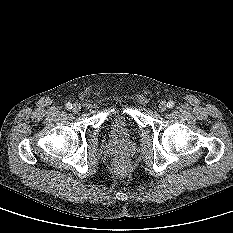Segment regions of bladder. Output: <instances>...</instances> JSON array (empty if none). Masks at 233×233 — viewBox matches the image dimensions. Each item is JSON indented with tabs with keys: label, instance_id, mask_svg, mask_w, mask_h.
I'll use <instances>...</instances> for the list:
<instances>
[{
	"label": "bladder",
	"instance_id": "1",
	"mask_svg": "<svg viewBox=\"0 0 233 233\" xmlns=\"http://www.w3.org/2000/svg\"><path fill=\"white\" fill-rule=\"evenodd\" d=\"M109 132L112 137L117 139H126L129 137L130 131L127 118L123 115H117L109 121Z\"/></svg>",
	"mask_w": 233,
	"mask_h": 233
}]
</instances>
